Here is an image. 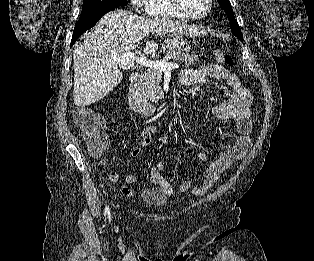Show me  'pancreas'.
I'll return each mask as SVG.
<instances>
[{"label":"pancreas","instance_id":"obj_1","mask_svg":"<svg viewBox=\"0 0 314 261\" xmlns=\"http://www.w3.org/2000/svg\"><path fill=\"white\" fill-rule=\"evenodd\" d=\"M165 56L163 61L169 62L173 61H183L185 67H189L196 64L198 60L197 54H188L181 53L175 50L167 49V46L164 45ZM163 72L159 69L148 68L144 76L143 83V96L146 100L157 103L160 99L164 98V92L162 86L160 85L162 80Z\"/></svg>","mask_w":314,"mask_h":261}]
</instances>
